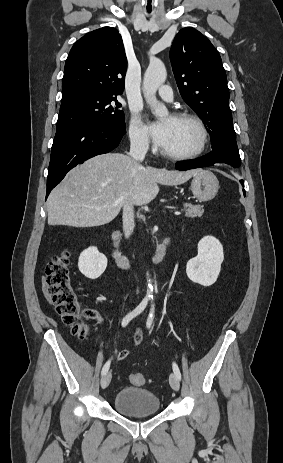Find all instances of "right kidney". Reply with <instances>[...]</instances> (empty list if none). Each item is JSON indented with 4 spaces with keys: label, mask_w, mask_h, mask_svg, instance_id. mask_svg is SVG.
Masks as SVG:
<instances>
[{
    "label": "right kidney",
    "mask_w": 283,
    "mask_h": 463,
    "mask_svg": "<svg viewBox=\"0 0 283 463\" xmlns=\"http://www.w3.org/2000/svg\"><path fill=\"white\" fill-rule=\"evenodd\" d=\"M107 267V258L100 253L97 247H89L84 250L78 261L80 272L89 279L100 277Z\"/></svg>",
    "instance_id": "right-kidney-1"
}]
</instances>
